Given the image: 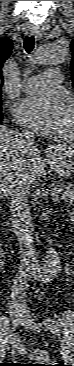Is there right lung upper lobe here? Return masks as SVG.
I'll return each mask as SVG.
<instances>
[{
	"mask_svg": "<svg viewBox=\"0 0 74 366\" xmlns=\"http://www.w3.org/2000/svg\"><path fill=\"white\" fill-rule=\"evenodd\" d=\"M12 51V40L9 38L0 39V92L4 83L2 74V65L8 59Z\"/></svg>",
	"mask_w": 74,
	"mask_h": 366,
	"instance_id": "1",
	"label": "right lung upper lobe"
}]
</instances>
